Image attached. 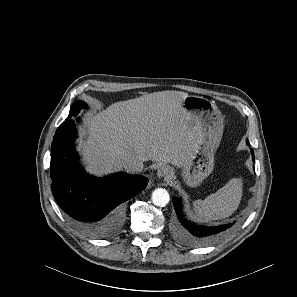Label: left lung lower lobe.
I'll use <instances>...</instances> for the list:
<instances>
[{"instance_id":"left-lung-lower-lobe-1","label":"left lung lower lobe","mask_w":297,"mask_h":297,"mask_svg":"<svg viewBox=\"0 0 297 297\" xmlns=\"http://www.w3.org/2000/svg\"><path fill=\"white\" fill-rule=\"evenodd\" d=\"M246 142L249 145L248 140ZM251 153L254 160L255 156L252 149ZM173 205L179 219L174 227V236L179 242L185 245L200 246L210 244L227 233L233 226V223L214 227L196 225L184 218L182 214V204L179 199L173 198Z\"/></svg>"}]
</instances>
